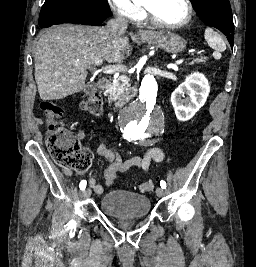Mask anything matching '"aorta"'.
<instances>
[{
	"mask_svg": "<svg viewBox=\"0 0 256 267\" xmlns=\"http://www.w3.org/2000/svg\"><path fill=\"white\" fill-rule=\"evenodd\" d=\"M154 79V75L144 76L142 95L130 108H125L124 117H119L120 127H160V122H165V117H161L162 108L152 104L157 97ZM123 133H133V138H143V143H160V138H155L158 128H123Z\"/></svg>",
	"mask_w": 256,
	"mask_h": 267,
	"instance_id": "obj_1",
	"label": "aorta"
}]
</instances>
